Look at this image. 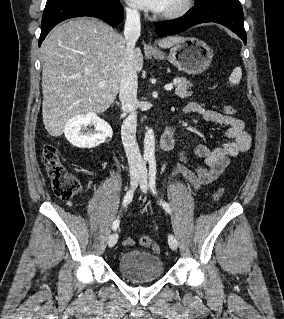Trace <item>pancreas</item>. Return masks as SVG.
<instances>
[{"label": "pancreas", "instance_id": "pancreas-1", "mask_svg": "<svg viewBox=\"0 0 284 319\" xmlns=\"http://www.w3.org/2000/svg\"><path fill=\"white\" fill-rule=\"evenodd\" d=\"M175 94L181 98H187L192 95L188 92V89L192 87V84L185 77H178L175 83Z\"/></svg>", "mask_w": 284, "mask_h": 319}]
</instances>
